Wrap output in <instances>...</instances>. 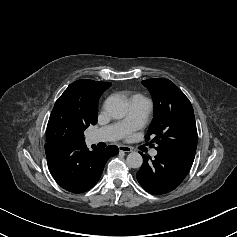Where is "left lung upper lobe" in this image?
Wrapping results in <instances>:
<instances>
[{
  "label": "left lung upper lobe",
  "instance_id": "left-lung-upper-lobe-1",
  "mask_svg": "<svg viewBox=\"0 0 237 237\" xmlns=\"http://www.w3.org/2000/svg\"><path fill=\"white\" fill-rule=\"evenodd\" d=\"M142 84L154 102V118L146 139L152 135L160 153L195 157L197 130L192 105L185 94L168 79H148Z\"/></svg>",
  "mask_w": 237,
  "mask_h": 237
}]
</instances>
